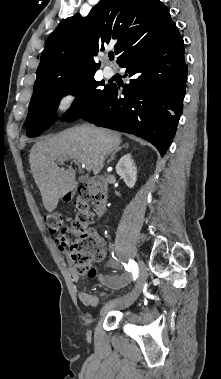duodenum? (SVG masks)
Listing matches in <instances>:
<instances>
[{"instance_id": "1", "label": "duodenum", "mask_w": 221, "mask_h": 379, "mask_svg": "<svg viewBox=\"0 0 221 379\" xmlns=\"http://www.w3.org/2000/svg\"><path fill=\"white\" fill-rule=\"evenodd\" d=\"M83 188L99 189V190H102L104 192L105 191V183H104V180L100 177H91L85 183L79 184L76 189L79 192ZM69 196H70V194H69ZM105 206H106V199H105V197H103L97 203L98 214H102L104 212Z\"/></svg>"}]
</instances>
